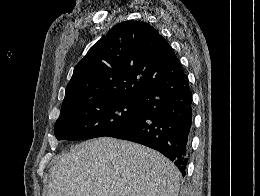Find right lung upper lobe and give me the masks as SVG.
<instances>
[{
  "label": "right lung upper lobe",
  "instance_id": "1",
  "mask_svg": "<svg viewBox=\"0 0 260 196\" xmlns=\"http://www.w3.org/2000/svg\"><path fill=\"white\" fill-rule=\"evenodd\" d=\"M168 42L141 21L115 25L75 66L62 109L110 94L139 98L183 74Z\"/></svg>",
  "mask_w": 260,
  "mask_h": 196
}]
</instances>
